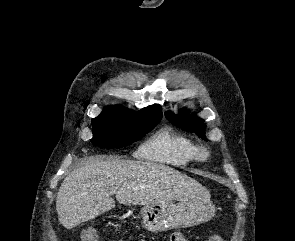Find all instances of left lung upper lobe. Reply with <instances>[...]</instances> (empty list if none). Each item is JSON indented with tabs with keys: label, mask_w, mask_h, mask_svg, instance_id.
<instances>
[{
	"label": "left lung upper lobe",
	"mask_w": 295,
	"mask_h": 241,
	"mask_svg": "<svg viewBox=\"0 0 295 241\" xmlns=\"http://www.w3.org/2000/svg\"><path fill=\"white\" fill-rule=\"evenodd\" d=\"M166 118L177 127H181L186 131L195 132L198 136L203 138L204 125L203 120L197 118L195 114L181 113L177 116L171 112L165 113ZM206 140V139H205Z\"/></svg>",
	"instance_id": "obj_1"
}]
</instances>
